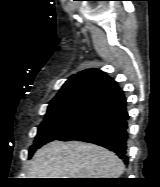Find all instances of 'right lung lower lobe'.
Listing matches in <instances>:
<instances>
[{
    "label": "right lung lower lobe",
    "mask_w": 160,
    "mask_h": 187,
    "mask_svg": "<svg viewBox=\"0 0 160 187\" xmlns=\"http://www.w3.org/2000/svg\"><path fill=\"white\" fill-rule=\"evenodd\" d=\"M128 118L124 92L118 91L99 102L89 116L56 140H78L103 146L127 164Z\"/></svg>",
    "instance_id": "98d812e1"
}]
</instances>
